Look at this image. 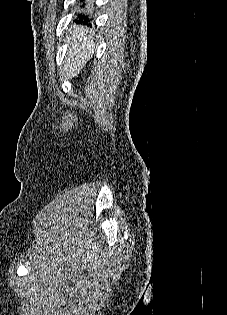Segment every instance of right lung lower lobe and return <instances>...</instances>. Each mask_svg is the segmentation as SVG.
<instances>
[{
    "label": "right lung lower lobe",
    "instance_id": "1",
    "mask_svg": "<svg viewBox=\"0 0 227 315\" xmlns=\"http://www.w3.org/2000/svg\"><path fill=\"white\" fill-rule=\"evenodd\" d=\"M81 1H83V0H81ZM83 20L84 21H88V17L85 16L84 14H79L78 15V20L75 19L76 22L83 21Z\"/></svg>",
    "mask_w": 227,
    "mask_h": 315
}]
</instances>
